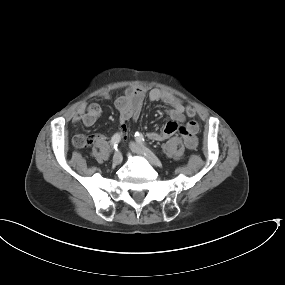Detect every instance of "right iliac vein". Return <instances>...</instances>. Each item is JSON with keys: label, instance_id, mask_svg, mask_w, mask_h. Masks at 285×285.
<instances>
[{"label": "right iliac vein", "instance_id": "obj_1", "mask_svg": "<svg viewBox=\"0 0 285 285\" xmlns=\"http://www.w3.org/2000/svg\"><path fill=\"white\" fill-rule=\"evenodd\" d=\"M122 160H123V156H122L121 152L120 151H116L114 156H113V163L115 165H118V164H120L122 162Z\"/></svg>", "mask_w": 285, "mask_h": 285}]
</instances>
